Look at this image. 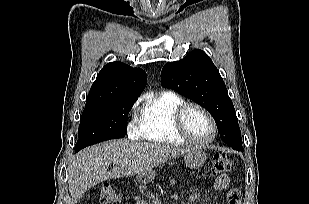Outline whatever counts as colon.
Listing matches in <instances>:
<instances>
[{
	"label": "colon",
	"instance_id": "1",
	"mask_svg": "<svg viewBox=\"0 0 309 204\" xmlns=\"http://www.w3.org/2000/svg\"><path fill=\"white\" fill-rule=\"evenodd\" d=\"M232 163L230 159L223 153L214 156L211 166L213 175H222L231 169ZM99 200L101 204H115L120 200V195L116 188L111 184H105L100 191ZM240 197L234 195L230 200V204H239Z\"/></svg>",
	"mask_w": 309,
	"mask_h": 204
}]
</instances>
